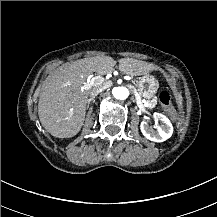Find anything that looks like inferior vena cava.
<instances>
[{
    "mask_svg": "<svg viewBox=\"0 0 217 217\" xmlns=\"http://www.w3.org/2000/svg\"><path fill=\"white\" fill-rule=\"evenodd\" d=\"M106 87L104 85H97L90 89V95L92 97L98 95L101 91L105 90Z\"/></svg>",
    "mask_w": 217,
    "mask_h": 217,
    "instance_id": "obj_1",
    "label": "inferior vena cava"
}]
</instances>
